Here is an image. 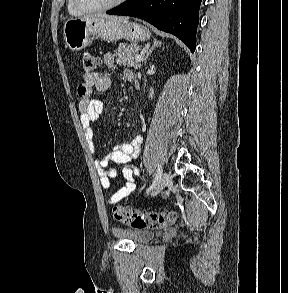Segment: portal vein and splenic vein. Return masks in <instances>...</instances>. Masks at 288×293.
Masks as SVG:
<instances>
[{"instance_id":"portal-vein-and-splenic-vein-1","label":"portal vein and splenic vein","mask_w":288,"mask_h":293,"mask_svg":"<svg viewBox=\"0 0 288 293\" xmlns=\"http://www.w3.org/2000/svg\"><path fill=\"white\" fill-rule=\"evenodd\" d=\"M135 60H136L137 62H141V61H143V55H137V56L135 57Z\"/></svg>"}]
</instances>
